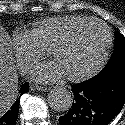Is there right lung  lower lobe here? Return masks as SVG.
Returning <instances> with one entry per match:
<instances>
[{"mask_svg":"<svg viewBox=\"0 0 125 125\" xmlns=\"http://www.w3.org/2000/svg\"><path fill=\"white\" fill-rule=\"evenodd\" d=\"M28 91L29 85L28 82H26L20 87L18 93L22 95L24 93H27ZM18 107L19 101L16 100V102L11 106V108L4 115L0 116V125H15L16 120L18 118Z\"/></svg>","mask_w":125,"mask_h":125,"instance_id":"obj_1","label":"right lung lower lobe"}]
</instances>
